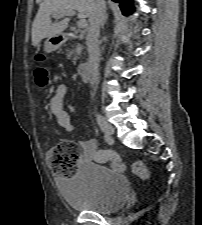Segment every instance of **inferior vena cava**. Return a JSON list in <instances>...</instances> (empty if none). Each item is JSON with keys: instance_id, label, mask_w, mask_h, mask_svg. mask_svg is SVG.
<instances>
[{"instance_id": "obj_1", "label": "inferior vena cava", "mask_w": 202, "mask_h": 225, "mask_svg": "<svg viewBox=\"0 0 202 225\" xmlns=\"http://www.w3.org/2000/svg\"><path fill=\"white\" fill-rule=\"evenodd\" d=\"M105 2L104 0H96L95 8L92 16L89 19L90 25L87 33V50L89 54L88 63L92 73V84L98 83L99 76V46L98 39L100 27L105 17Z\"/></svg>"}]
</instances>
